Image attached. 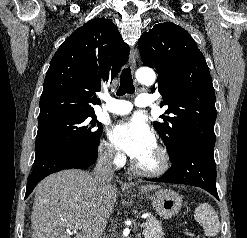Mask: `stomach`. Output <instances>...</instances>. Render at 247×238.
Returning a JSON list of instances; mask_svg holds the SVG:
<instances>
[{"label":"stomach","instance_id":"1","mask_svg":"<svg viewBox=\"0 0 247 238\" xmlns=\"http://www.w3.org/2000/svg\"><path fill=\"white\" fill-rule=\"evenodd\" d=\"M151 201L155 212L164 219L176 216L182 207V198L178 193L169 189H160L153 195L144 194Z\"/></svg>","mask_w":247,"mask_h":238}]
</instances>
